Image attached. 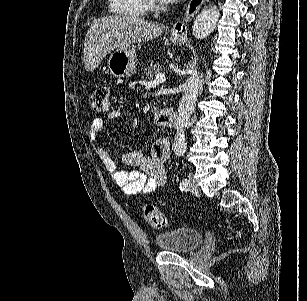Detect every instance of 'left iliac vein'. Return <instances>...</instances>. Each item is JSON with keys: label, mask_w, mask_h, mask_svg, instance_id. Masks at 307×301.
Returning <instances> with one entry per match:
<instances>
[{"label": "left iliac vein", "mask_w": 307, "mask_h": 301, "mask_svg": "<svg viewBox=\"0 0 307 301\" xmlns=\"http://www.w3.org/2000/svg\"><path fill=\"white\" fill-rule=\"evenodd\" d=\"M189 182L190 184L188 185V190L191 191L193 194H197L199 192V188L195 183L192 175H189Z\"/></svg>", "instance_id": "obj_1"}]
</instances>
